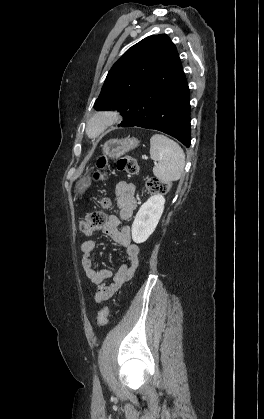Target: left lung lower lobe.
<instances>
[{"label": "left lung lower lobe", "instance_id": "0a47b994", "mask_svg": "<svg viewBox=\"0 0 264 419\" xmlns=\"http://www.w3.org/2000/svg\"><path fill=\"white\" fill-rule=\"evenodd\" d=\"M122 127L155 129L190 146L189 88L180 63L177 74L149 90L125 114Z\"/></svg>", "mask_w": 264, "mask_h": 419}]
</instances>
